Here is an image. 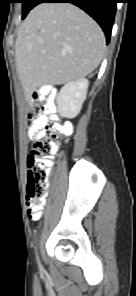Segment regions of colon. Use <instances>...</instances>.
<instances>
[{
    "instance_id": "1",
    "label": "colon",
    "mask_w": 136,
    "mask_h": 296,
    "mask_svg": "<svg viewBox=\"0 0 136 296\" xmlns=\"http://www.w3.org/2000/svg\"><path fill=\"white\" fill-rule=\"evenodd\" d=\"M29 124L43 120L42 134L31 139V151L27 156L26 206L30 218H38L45 201L48 177L52 167L50 157L57 152L60 142L71 134L68 124L55 119L53 100L33 102L27 110Z\"/></svg>"
}]
</instances>
